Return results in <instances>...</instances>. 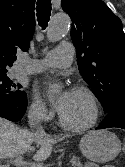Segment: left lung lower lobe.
Segmentation results:
<instances>
[{"mask_svg":"<svg viewBox=\"0 0 125 167\" xmlns=\"http://www.w3.org/2000/svg\"><path fill=\"white\" fill-rule=\"evenodd\" d=\"M117 127L125 129V105L115 106L107 112L105 119L97 129Z\"/></svg>","mask_w":125,"mask_h":167,"instance_id":"left-lung-lower-lobe-1","label":"left lung lower lobe"}]
</instances>
